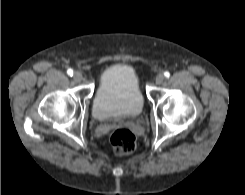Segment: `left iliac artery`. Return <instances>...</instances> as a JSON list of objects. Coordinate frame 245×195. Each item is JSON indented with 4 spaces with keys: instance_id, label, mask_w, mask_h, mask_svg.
<instances>
[{
    "instance_id": "obj_1",
    "label": "left iliac artery",
    "mask_w": 245,
    "mask_h": 195,
    "mask_svg": "<svg viewBox=\"0 0 245 195\" xmlns=\"http://www.w3.org/2000/svg\"><path fill=\"white\" fill-rule=\"evenodd\" d=\"M164 76H165L166 78H169V77H170V73H169L168 71H166V72H164Z\"/></svg>"
}]
</instances>
